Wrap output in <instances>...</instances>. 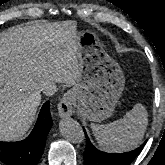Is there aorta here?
I'll use <instances>...</instances> for the list:
<instances>
[{"label": "aorta", "mask_w": 165, "mask_h": 165, "mask_svg": "<svg viewBox=\"0 0 165 165\" xmlns=\"http://www.w3.org/2000/svg\"><path fill=\"white\" fill-rule=\"evenodd\" d=\"M59 128L61 135L72 143H81L85 139L82 127L73 119L62 121Z\"/></svg>", "instance_id": "aorta-1"}]
</instances>
